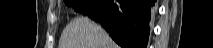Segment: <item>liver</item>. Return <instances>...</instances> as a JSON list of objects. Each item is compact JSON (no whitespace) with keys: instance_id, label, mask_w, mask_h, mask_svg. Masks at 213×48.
I'll use <instances>...</instances> for the list:
<instances>
[{"instance_id":"liver-1","label":"liver","mask_w":213,"mask_h":48,"mask_svg":"<svg viewBox=\"0 0 213 48\" xmlns=\"http://www.w3.org/2000/svg\"><path fill=\"white\" fill-rule=\"evenodd\" d=\"M58 48H119L108 33L88 18L70 21L61 34Z\"/></svg>"}]
</instances>
